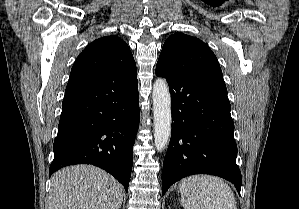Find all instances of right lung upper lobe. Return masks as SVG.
I'll return each instance as SVG.
<instances>
[{"label": "right lung upper lobe", "mask_w": 299, "mask_h": 209, "mask_svg": "<svg viewBox=\"0 0 299 209\" xmlns=\"http://www.w3.org/2000/svg\"><path fill=\"white\" fill-rule=\"evenodd\" d=\"M102 73L137 77V68L128 45L117 36H106L90 43L77 57L70 78Z\"/></svg>", "instance_id": "obj_1"}]
</instances>
